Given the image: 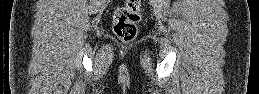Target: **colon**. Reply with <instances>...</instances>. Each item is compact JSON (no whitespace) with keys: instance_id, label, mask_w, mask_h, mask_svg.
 I'll list each match as a JSON object with an SVG mask.
<instances>
[{"instance_id":"obj_1","label":"colon","mask_w":259,"mask_h":94,"mask_svg":"<svg viewBox=\"0 0 259 94\" xmlns=\"http://www.w3.org/2000/svg\"><path fill=\"white\" fill-rule=\"evenodd\" d=\"M140 19L141 1L127 0L123 6L114 11V33L123 41H131L137 34V23Z\"/></svg>"}]
</instances>
